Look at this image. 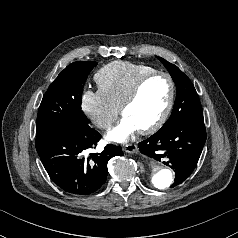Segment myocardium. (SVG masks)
I'll list each match as a JSON object with an SVG mask.
<instances>
[{"instance_id":"f54148a6","label":"myocardium","mask_w":238,"mask_h":238,"mask_svg":"<svg viewBox=\"0 0 238 238\" xmlns=\"http://www.w3.org/2000/svg\"><path fill=\"white\" fill-rule=\"evenodd\" d=\"M157 77H163L168 81L169 98H168V102H167L163 112L159 116V118L154 123H152L150 126L143 128V129H139V133L144 134V135L151 134V133H154L155 131H157L166 122V120L168 119V117L172 111L174 101H175L176 87H175V83H174V80L171 77V75L166 72L155 71V72H152L150 74L143 76L142 78H140L137 81V83L134 85V87L132 88V90L130 91V93L128 94V96L125 98V100L122 102V104L120 106V111L124 115L125 110L137 100V98L139 97L144 86L150 80L157 78Z\"/></svg>"}]
</instances>
